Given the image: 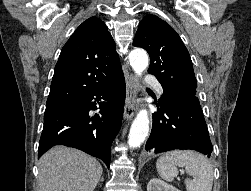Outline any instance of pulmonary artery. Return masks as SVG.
Listing matches in <instances>:
<instances>
[{
	"mask_svg": "<svg viewBox=\"0 0 251 191\" xmlns=\"http://www.w3.org/2000/svg\"><path fill=\"white\" fill-rule=\"evenodd\" d=\"M143 82H149V86H154L159 94L163 93V88L161 84L156 80L154 73H147L146 77H143Z\"/></svg>",
	"mask_w": 251,
	"mask_h": 191,
	"instance_id": "obj_1",
	"label": "pulmonary artery"
}]
</instances>
